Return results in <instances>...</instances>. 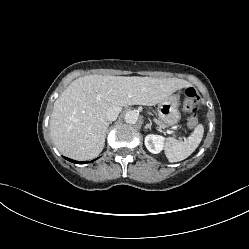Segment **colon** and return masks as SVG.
Returning a JSON list of instances; mask_svg holds the SVG:
<instances>
[{
    "instance_id": "obj_1",
    "label": "colon",
    "mask_w": 249,
    "mask_h": 249,
    "mask_svg": "<svg viewBox=\"0 0 249 249\" xmlns=\"http://www.w3.org/2000/svg\"><path fill=\"white\" fill-rule=\"evenodd\" d=\"M200 109V97L193 88L185 91L184 110L190 113L188 125L193 128L198 123V112Z\"/></svg>"
}]
</instances>
